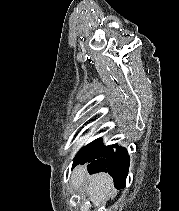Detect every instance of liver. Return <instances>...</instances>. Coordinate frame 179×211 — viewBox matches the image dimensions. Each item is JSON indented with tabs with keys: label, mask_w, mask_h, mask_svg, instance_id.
<instances>
[{
	"label": "liver",
	"mask_w": 179,
	"mask_h": 211,
	"mask_svg": "<svg viewBox=\"0 0 179 211\" xmlns=\"http://www.w3.org/2000/svg\"><path fill=\"white\" fill-rule=\"evenodd\" d=\"M87 179L88 187L86 193L88 194L94 206H98L107 197L108 193L113 187V179L106 173L95 174L88 177L87 170L83 166H78L72 173V181L74 187H80Z\"/></svg>",
	"instance_id": "6515ba94"
}]
</instances>
